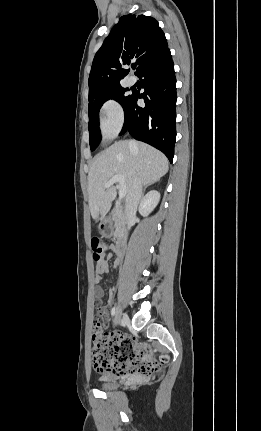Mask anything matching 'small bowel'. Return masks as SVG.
<instances>
[{
    "label": "small bowel",
    "instance_id": "obj_1",
    "mask_svg": "<svg viewBox=\"0 0 261 431\" xmlns=\"http://www.w3.org/2000/svg\"><path fill=\"white\" fill-rule=\"evenodd\" d=\"M115 264H117V260L115 261ZM108 272H109V267H108L107 261L101 260L96 266V274H95V279H94V281L97 285L95 288V296H96L95 303L96 304L102 303V298L104 296V289L100 285V282L102 281L103 275L107 274ZM97 316H98V318L102 319L103 324L105 326H107V324H108V312L104 307H100V311H98Z\"/></svg>",
    "mask_w": 261,
    "mask_h": 431
}]
</instances>
